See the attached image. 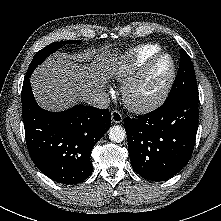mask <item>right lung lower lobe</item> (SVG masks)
I'll list each match as a JSON object with an SVG mask.
<instances>
[{"instance_id":"98d812e1","label":"right lung lower lobe","mask_w":221,"mask_h":221,"mask_svg":"<svg viewBox=\"0 0 221 221\" xmlns=\"http://www.w3.org/2000/svg\"><path fill=\"white\" fill-rule=\"evenodd\" d=\"M27 71L22 92L26 144L37 168L54 181L75 184L87 179L93 166V146L109 129L106 109L76 105L62 112L43 110L36 103Z\"/></svg>"}]
</instances>
